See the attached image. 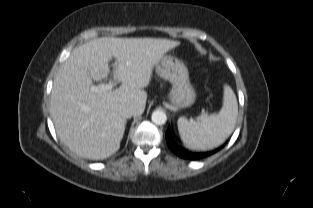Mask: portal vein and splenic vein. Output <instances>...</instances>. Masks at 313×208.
Here are the masks:
<instances>
[{
    "label": "portal vein and splenic vein",
    "instance_id": "1",
    "mask_svg": "<svg viewBox=\"0 0 313 208\" xmlns=\"http://www.w3.org/2000/svg\"><path fill=\"white\" fill-rule=\"evenodd\" d=\"M115 65H117V62H115ZM116 85L115 81L114 80H111L108 84H101V85H98V86H91L90 90L92 92H102V91H105V90H110L112 89L114 86Z\"/></svg>",
    "mask_w": 313,
    "mask_h": 208
}]
</instances>
